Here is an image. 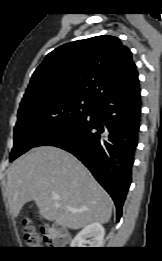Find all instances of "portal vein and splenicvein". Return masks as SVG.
<instances>
[{"label":"portal vein and splenic vein","instance_id":"18ae733b","mask_svg":"<svg viewBox=\"0 0 162 261\" xmlns=\"http://www.w3.org/2000/svg\"><path fill=\"white\" fill-rule=\"evenodd\" d=\"M53 198L56 199V200H59L60 199V196L58 194H54L53 195Z\"/></svg>","mask_w":162,"mask_h":261}]
</instances>
